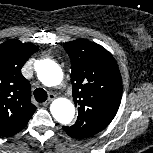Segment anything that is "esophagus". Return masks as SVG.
<instances>
[{
	"label": "esophagus",
	"instance_id": "esophagus-1",
	"mask_svg": "<svg viewBox=\"0 0 153 153\" xmlns=\"http://www.w3.org/2000/svg\"><path fill=\"white\" fill-rule=\"evenodd\" d=\"M54 98H55V95L54 94H50L48 99L43 103V105L44 106L49 105L53 101Z\"/></svg>",
	"mask_w": 153,
	"mask_h": 153
}]
</instances>
